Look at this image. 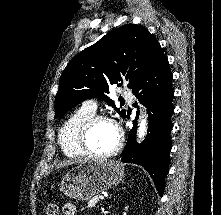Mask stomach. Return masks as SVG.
<instances>
[{"label":"stomach","instance_id":"stomach-1","mask_svg":"<svg viewBox=\"0 0 221 215\" xmlns=\"http://www.w3.org/2000/svg\"><path fill=\"white\" fill-rule=\"evenodd\" d=\"M124 170L112 160L89 159L67 172L60 190L69 198L85 201L121 182Z\"/></svg>","mask_w":221,"mask_h":215}]
</instances>
